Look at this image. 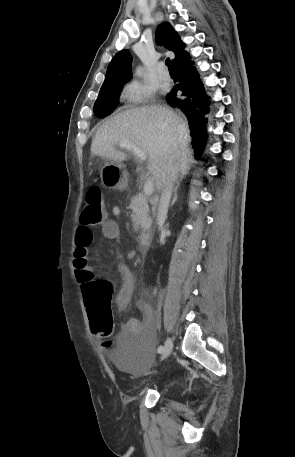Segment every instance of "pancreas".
<instances>
[{
	"mask_svg": "<svg viewBox=\"0 0 295 457\" xmlns=\"http://www.w3.org/2000/svg\"><path fill=\"white\" fill-rule=\"evenodd\" d=\"M130 209L132 210L131 219L133 227L136 231L142 229L143 231L149 230L152 219L149 215V206L147 197L142 193L133 196L130 200Z\"/></svg>",
	"mask_w": 295,
	"mask_h": 457,
	"instance_id": "1",
	"label": "pancreas"
}]
</instances>
